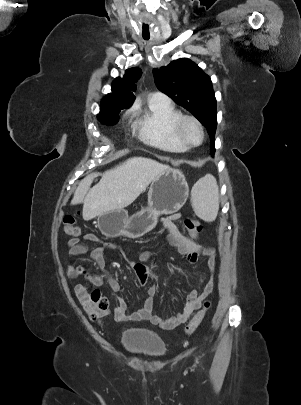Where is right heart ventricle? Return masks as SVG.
<instances>
[{"label":"right heart ventricle","mask_w":301,"mask_h":405,"mask_svg":"<svg viewBox=\"0 0 301 405\" xmlns=\"http://www.w3.org/2000/svg\"><path fill=\"white\" fill-rule=\"evenodd\" d=\"M181 113L172 104L149 102L132 113L133 129L148 145L163 151L181 153L188 149L178 138L174 126Z\"/></svg>","instance_id":"right-heart-ventricle-1"}]
</instances>
